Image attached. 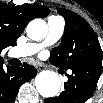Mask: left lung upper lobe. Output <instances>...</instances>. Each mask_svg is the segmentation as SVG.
I'll return each mask as SVG.
<instances>
[{
	"label": "left lung upper lobe",
	"instance_id": "left-lung-upper-lobe-1",
	"mask_svg": "<svg viewBox=\"0 0 103 103\" xmlns=\"http://www.w3.org/2000/svg\"><path fill=\"white\" fill-rule=\"evenodd\" d=\"M58 13L65 18V31L58 47L51 51L50 62L65 70L91 57L103 58V51L92 27L78 14L64 8Z\"/></svg>",
	"mask_w": 103,
	"mask_h": 103
}]
</instances>
